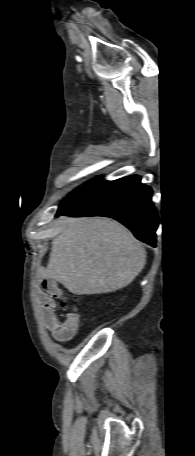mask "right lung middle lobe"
<instances>
[{
	"label": "right lung middle lobe",
	"mask_w": 195,
	"mask_h": 456,
	"mask_svg": "<svg viewBox=\"0 0 195 456\" xmlns=\"http://www.w3.org/2000/svg\"><path fill=\"white\" fill-rule=\"evenodd\" d=\"M111 181H104L100 178L89 181L83 186L74 190L69 196H67L61 203L58 213L70 210L79 204L85 202L103 188H105Z\"/></svg>",
	"instance_id": "dd1d6c3e"
}]
</instances>
